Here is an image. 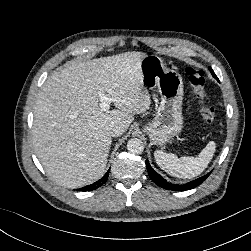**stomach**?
<instances>
[{"instance_id": "stomach-1", "label": "stomach", "mask_w": 251, "mask_h": 251, "mask_svg": "<svg viewBox=\"0 0 251 251\" xmlns=\"http://www.w3.org/2000/svg\"><path fill=\"white\" fill-rule=\"evenodd\" d=\"M142 84L146 90L160 94L161 102L154 119L144 127L150 141L164 145L183 128V81L181 75L165 67L157 55H147L141 60Z\"/></svg>"}]
</instances>
